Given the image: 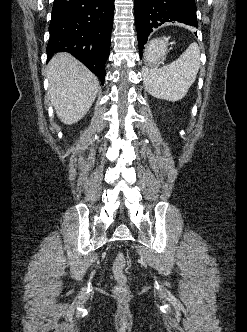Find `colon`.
Instances as JSON below:
<instances>
[{
  "label": "colon",
  "instance_id": "1",
  "mask_svg": "<svg viewBox=\"0 0 247 332\" xmlns=\"http://www.w3.org/2000/svg\"><path fill=\"white\" fill-rule=\"evenodd\" d=\"M125 266L126 256L122 252L117 253L112 265V271L116 281L113 292L118 297H127L130 293Z\"/></svg>",
  "mask_w": 247,
  "mask_h": 332
}]
</instances>
